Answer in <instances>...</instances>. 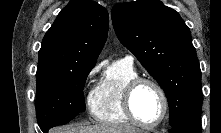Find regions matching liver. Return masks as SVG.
I'll return each instance as SVG.
<instances>
[{
  "instance_id": "6515ba94",
  "label": "liver",
  "mask_w": 221,
  "mask_h": 133,
  "mask_svg": "<svg viewBox=\"0 0 221 133\" xmlns=\"http://www.w3.org/2000/svg\"><path fill=\"white\" fill-rule=\"evenodd\" d=\"M51 133H142V131L125 125L100 123L92 126L75 124L58 127L52 129Z\"/></svg>"
}]
</instances>
